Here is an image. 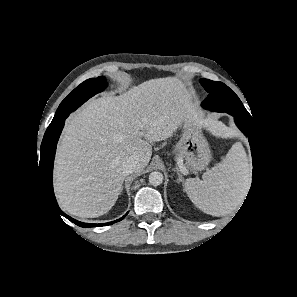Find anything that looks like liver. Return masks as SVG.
Here are the masks:
<instances>
[{"instance_id":"6515ba94","label":"liver","mask_w":297,"mask_h":297,"mask_svg":"<svg viewBox=\"0 0 297 297\" xmlns=\"http://www.w3.org/2000/svg\"><path fill=\"white\" fill-rule=\"evenodd\" d=\"M207 121L181 80L151 79L120 96L92 99L67 120L54 165V190L63 210L80 218L107 213L122 191V164L149 163L152 146L178 126Z\"/></svg>"}]
</instances>
